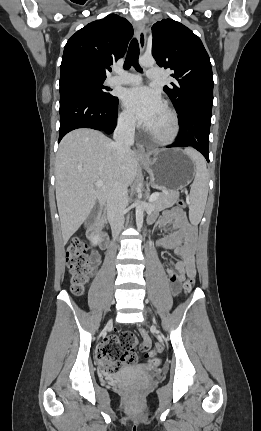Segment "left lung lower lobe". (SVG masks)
<instances>
[{"label": "left lung lower lobe", "mask_w": 261, "mask_h": 431, "mask_svg": "<svg viewBox=\"0 0 261 431\" xmlns=\"http://www.w3.org/2000/svg\"><path fill=\"white\" fill-rule=\"evenodd\" d=\"M212 106L200 104L179 116L177 140L168 147H193L209 162V131Z\"/></svg>", "instance_id": "0a47b994"}]
</instances>
